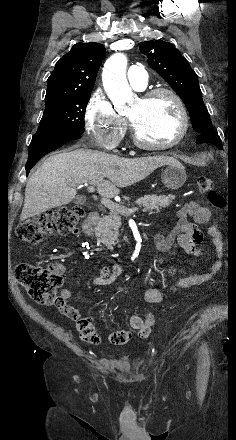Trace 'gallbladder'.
Returning <instances> with one entry per match:
<instances>
[{
    "label": "gallbladder",
    "instance_id": "bac80fb5",
    "mask_svg": "<svg viewBox=\"0 0 236 440\" xmlns=\"http://www.w3.org/2000/svg\"><path fill=\"white\" fill-rule=\"evenodd\" d=\"M76 201H77V202H80V201H81V198H77Z\"/></svg>",
    "mask_w": 236,
    "mask_h": 440
}]
</instances>
